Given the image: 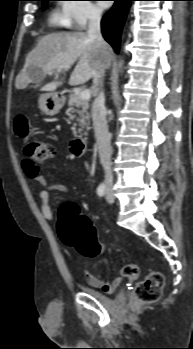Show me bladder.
I'll use <instances>...</instances> for the list:
<instances>
[{"instance_id": "1", "label": "bladder", "mask_w": 193, "mask_h": 349, "mask_svg": "<svg viewBox=\"0 0 193 349\" xmlns=\"http://www.w3.org/2000/svg\"><path fill=\"white\" fill-rule=\"evenodd\" d=\"M85 291L101 303L109 302V297L104 292L96 288L87 287L85 288ZM119 297L122 298L123 294H120Z\"/></svg>"}]
</instances>
